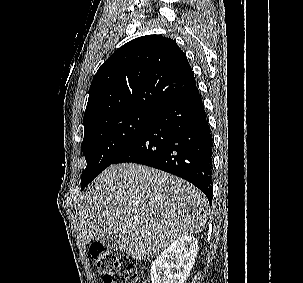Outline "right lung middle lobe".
I'll return each mask as SVG.
<instances>
[{
  "instance_id": "1",
  "label": "right lung middle lobe",
  "mask_w": 303,
  "mask_h": 283,
  "mask_svg": "<svg viewBox=\"0 0 303 283\" xmlns=\"http://www.w3.org/2000/svg\"><path fill=\"white\" fill-rule=\"evenodd\" d=\"M155 113L133 110L108 116L84 131L81 150L87 166L81 176V190L113 162L142 134Z\"/></svg>"
}]
</instances>
